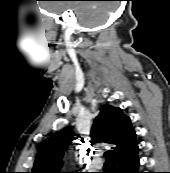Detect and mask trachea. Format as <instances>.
I'll list each match as a JSON object with an SVG mask.
<instances>
[{"label":"trachea","instance_id":"3493384b","mask_svg":"<svg viewBox=\"0 0 170 173\" xmlns=\"http://www.w3.org/2000/svg\"><path fill=\"white\" fill-rule=\"evenodd\" d=\"M104 157L106 158V161H111V151H106Z\"/></svg>","mask_w":170,"mask_h":173}]
</instances>
